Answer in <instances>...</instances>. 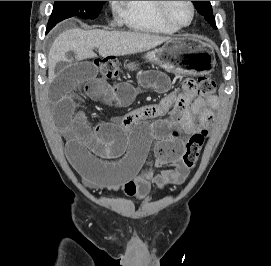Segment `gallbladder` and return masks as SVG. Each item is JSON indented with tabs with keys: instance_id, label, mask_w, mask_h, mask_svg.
I'll list each match as a JSON object with an SVG mask.
<instances>
[{
	"instance_id": "obj_1",
	"label": "gallbladder",
	"mask_w": 271,
	"mask_h": 266,
	"mask_svg": "<svg viewBox=\"0 0 271 266\" xmlns=\"http://www.w3.org/2000/svg\"><path fill=\"white\" fill-rule=\"evenodd\" d=\"M66 56L68 59H71V61H61L56 64L55 72L58 75H60L66 69L67 65L75 62L73 52H68Z\"/></svg>"
}]
</instances>
